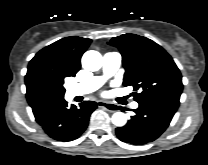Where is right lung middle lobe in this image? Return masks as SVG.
Wrapping results in <instances>:
<instances>
[{"mask_svg": "<svg viewBox=\"0 0 208 165\" xmlns=\"http://www.w3.org/2000/svg\"><path fill=\"white\" fill-rule=\"evenodd\" d=\"M70 75L49 67L45 60L34 62L25 76L28 101L41 102L62 99L65 93L64 79Z\"/></svg>", "mask_w": 208, "mask_h": 165, "instance_id": "dd1d6c3e", "label": "right lung middle lobe"}]
</instances>
